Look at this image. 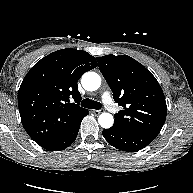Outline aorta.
I'll return each instance as SVG.
<instances>
[{
  "label": "aorta",
  "instance_id": "obj_1",
  "mask_svg": "<svg viewBox=\"0 0 193 193\" xmlns=\"http://www.w3.org/2000/svg\"><path fill=\"white\" fill-rule=\"evenodd\" d=\"M81 84L85 90L95 91L100 87L101 78L95 72H88L83 75ZM113 121V116L110 113H102L98 118V123L103 128H110Z\"/></svg>",
  "mask_w": 193,
  "mask_h": 193
}]
</instances>
